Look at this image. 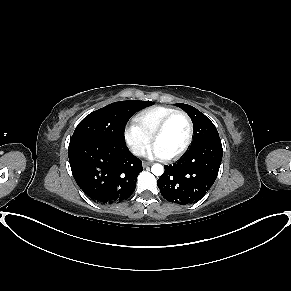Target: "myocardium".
<instances>
[{"mask_svg":"<svg viewBox=\"0 0 291 291\" xmlns=\"http://www.w3.org/2000/svg\"><path fill=\"white\" fill-rule=\"evenodd\" d=\"M183 116L188 124V136H187V140L185 142V144L183 145V147L177 151L176 153L168 156V159H178L180 158L183 154L186 153V151L189 149L192 140H193V135H194V126H193V122L192 119L190 118V116L181 110H176L172 113H170L169 115H167L162 122L159 124V126L157 127V129L155 130L154 134L152 135V141L155 143V141L164 133V131L166 130L168 124L170 123V121L176 117V116Z\"/></svg>","mask_w":291,"mask_h":291,"instance_id":"obj_1","label":"myocardium"}]
</instances>
